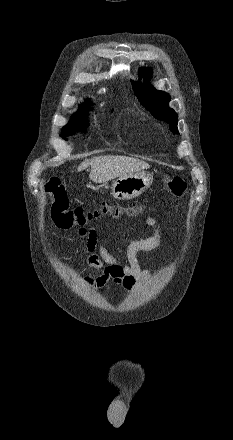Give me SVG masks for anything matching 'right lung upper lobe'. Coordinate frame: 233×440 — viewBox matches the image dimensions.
<instances>
[{
  "mask_svg": "<svg viewBox=\"0 0 233 440\" xmlns=\"http://www.w3.org/2000/svg\"><path fill=\"white\" fill-rule=\"evenodd\" d=\"M92 105V103L89 101V100H86L85 101V104H83V106H85V107H80V109H89V106H91Z\"/></svg>",
  "mask_w": 233,
  "mask_h": 440,
  "instance_id": "cb5924a9",
  "label": "right lung upper lobe"
}]
</instances>
